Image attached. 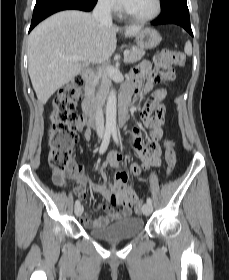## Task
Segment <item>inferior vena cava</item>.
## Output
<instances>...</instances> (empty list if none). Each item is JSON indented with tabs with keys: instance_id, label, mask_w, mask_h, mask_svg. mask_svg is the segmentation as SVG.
Instances as JSON below:
<instances>
[{
	"instance_id": "obj_1",
	"label": "inferior vena cava",
	"mask_w": 229,
	"mask_h": 280,
	"mask_svg": "<svg viewBox=\"0 0 229 280\" xmlns=\"http://www.w3.org/2000/svg\"><path fill=\"white\" fill-rule=\"evenodd\" d=\"M93 17L97 22L103 24H112L111 3L109 0H98L97 5L93 10ZM96 131L102 136L104 133V118L102 108L99 106L96 111Z\"/></svg>"
}]
</instances>
